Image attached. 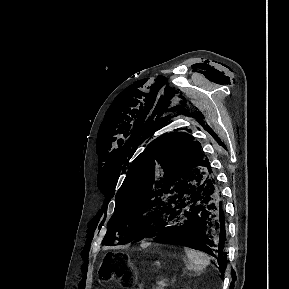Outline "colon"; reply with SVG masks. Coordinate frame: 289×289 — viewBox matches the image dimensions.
Listing matches in <instances>:
<instances>
[{"instance_id": "colon-1", "label": "colon", "mask_w": 289, "mask_h": 289, "mask_svg": "<svg viewBox=\"0 0 289 289\" xmlns=\"http://www.w3.org/2000/svg\"><path fill=\"white\" fill-rule=\"evenodd\" d=\"M98 279L101 283H114L122 288H130L135 282V274L122 262L119 255L108 253L98 270Z\"/></svg>"}]
</instances>
